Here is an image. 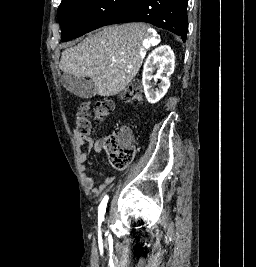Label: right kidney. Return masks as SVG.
I'll return each mask as SVG.
<instances>
[{
	"label": "right kidney",
	"mask_w": 256,
	"mask_h": 267,
	"mask_svg": "<svg viewBox=\"0 0 256 267\" xmlns=\"http://www.w3.org/2000/svg\"><path fill=\"white\" fill-rule=\"evenodd\" d=\"M154 68H158L153 76ZM175 68V56L170 46H159L149 54L143 68L142 82L149 104H157L170 88V78ZM151 80H161L156 92L152 90Z\"/></svg>",
	"instance_id": "right-kidney-1"
}]
</instances>
